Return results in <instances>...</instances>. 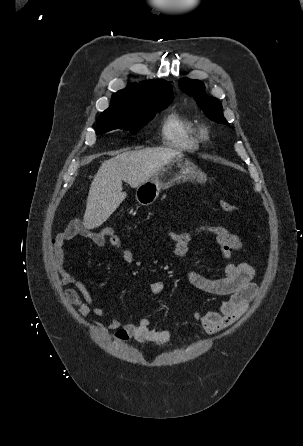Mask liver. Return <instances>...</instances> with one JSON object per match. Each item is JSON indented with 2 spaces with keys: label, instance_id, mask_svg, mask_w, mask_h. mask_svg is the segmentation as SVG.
<instances>
[{
  "label": "liver",
  "instance_id": "liver-1",
  "mask_svg": "<svg viewBox=\"0 0 303 446\" xmlns=\"http://www.w3.org/2000/svg\"><path fill=\"white\" fill-rule=\"evenodd\" d=\"M181 152L168 148L126 151L100 166L91 183L83 224L87 229L102 225L126 198L122 181L136 188Z\"/></svg>",
  "mask_w": 303,
  "mask_h": 446
}]
</instances>
